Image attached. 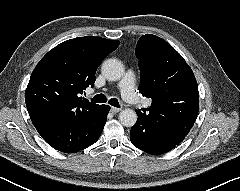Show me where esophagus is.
I'll use <instances>...</instances> for the list:
<instances>
[{
  "label": "esophagus",
  "mask_w": 240,
  "mask_h": 191,
  "mask_svg": "<svg viewBox=\"0 0 240 191\" xmlns=\"http://www.w3.org/2000/svg\"><path fill=\"white\" fill-rule=\"evenodd\" d=\"M120 110H121V108L111 107V112L112 113H118Z\"/></svg>",
  "instance_id": "1"
}]
</instances>
